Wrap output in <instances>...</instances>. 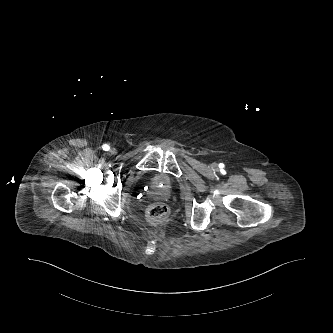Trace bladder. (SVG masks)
<instances>
[{
	"mask_svg": "<svg viewBox=\"0 0 333 333\" xmlns=\"http://www.w3.org/2000/svg\"><path fill=\"white\" fill-rule=\"evenodd\" d=\"M154 187L158 190L169 191L171 189V181L164 174H156L153 176Z\"/></svg>",
	"mask_w": 333,
	"mask_h": 333,
	"instance_id": "1",
	"label": "bladder"
}]
</instances>
